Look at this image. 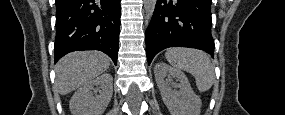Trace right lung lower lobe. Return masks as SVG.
Instances as JSON below:
<instances>
[{
    "mask_svg": "<svg viewBox=\"0 0 285 115\" xmlns=\"http://www.w3.org/2000/svg\"><path fill=\"white\" fill-rule=\"evenodd\" d=\"M120 0H56L55 62L78 50L118 57Z\"/></svg>",
    "mask_w": 285,
    "mask_h": 115,
    "instance_id": "1",
    "label": "right lung lower lobe"
}]
</instances>
